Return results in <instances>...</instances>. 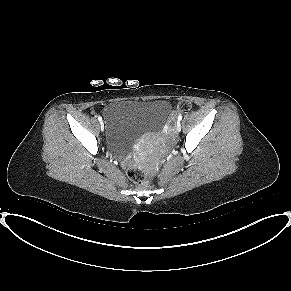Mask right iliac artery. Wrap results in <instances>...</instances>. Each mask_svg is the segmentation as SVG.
Segmentation results:
<instances>
[{
    "mask_svg": "<svg viewBox=\"0 0 291 291\" xmlns=\"http://www.w3.org/2000/svg\"><path fill=\"white\" fill-rule=\"evenodd\" d=\"M98 120H99V121H102V118H101L100 116H98Z\"/></svg>",
    "mask_w": 291,
    "mask_h": 291,
    "instance_id": "82829eb1",
    "label": "right iliac artery"
}]
</instances>
